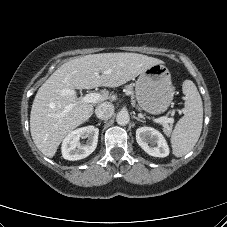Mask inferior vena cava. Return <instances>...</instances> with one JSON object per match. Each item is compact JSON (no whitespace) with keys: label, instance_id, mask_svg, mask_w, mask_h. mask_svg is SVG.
<instances>
[{"label":"inferior vena cava","instance_id":"602c4592","mask_svg":"<svg viewBox=\"0 0 227 227\" xmlns=\"http://www.w3.org/2000/svg\"><path fill=\"white\" fill-rule=\"evenodd\" d=\"M96 116L101 120H108L114 114V105L110 102H104L95 109Z\"/></svg>","mask_w":227,"mask_h":227}]
</instances>
